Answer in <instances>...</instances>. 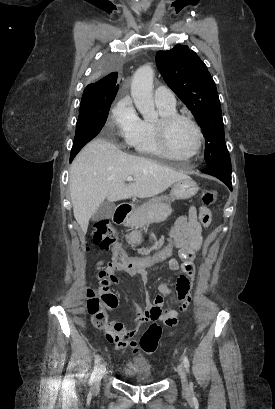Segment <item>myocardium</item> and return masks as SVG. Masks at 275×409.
<instances>
[{
	"instance_id": "obj_1",
	"label": "myocardium",
	"mask_w": 275,
	"mask_h": 409,
	"mask_svg": "<svg viewBox=\"0 0 275 409\" xmlns=\"http://www.w3.org/2000/svg\"><path fill=\"white\" fill-rule=\"evenodd\" d=\"M180 121L187 122L194 130L196 137V145L194 151L188 156L177 155L171 146V131L174 125ZM157 135L159 143L168 157H196L202 147L203 136L199 125L190 117L182 114H173L165 117H161L156 125Z\"/></svg>"
}]
</instances>
